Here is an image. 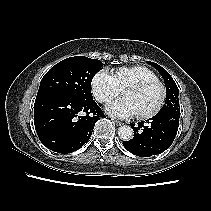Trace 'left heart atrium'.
<instances>
[{"label":"left heart atrium","instance_id":"1","mask_svg":"<svg viewBox=\"0 0 211 211\" xmlns=\"http://www.w3.org/2000/svg\"><path fill=\"white\" fill-rule=\"evenodd\" d=\"M106 111L113 117L125 119L137 114L134 104L127 98L114 101L107 105Z\"/></svg>","mask_w":211,"mask_h":211}]
</instances>
